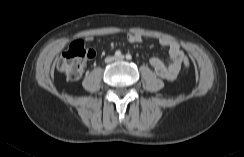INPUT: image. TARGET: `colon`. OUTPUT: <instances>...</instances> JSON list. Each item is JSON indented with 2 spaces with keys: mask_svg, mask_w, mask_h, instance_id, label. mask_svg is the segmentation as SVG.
Instances as JSON below:
<instances>
[{
  "mask_svg": "<svg viewBox=\"0 0 244 157\" xmlns=\"http://www.w3.org/2000/svg\"><path fill=\"white\" fill-rule=\"evenodd\" d=\"M93 56L94 51L87 48L82 41L77 40L60 56L57 61V68L68 79L77 80L81 76L87 60ZM190 64V59L184 57L183 65L189 67Z\"/></svg>",
  "mask_w": 244,
  "mask_h": 157,
  "instance_id": "obj_1",
  "label": "colon"
}]
</instances>
